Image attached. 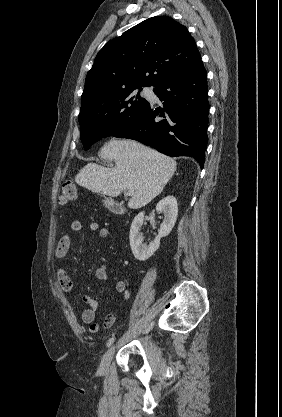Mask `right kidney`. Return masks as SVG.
I'll return each mask as SVG.
<instances>
[{"label": "right kidney", "instance_id": "1", "mask_svg": "<svg viewBox=\"0 0 282 417\" xmlns=\"http://www.w3.org/2000/svg\"><path fill=\"white\" fill-rule=\"evenodd\" d=\"M156 211H158V213H163L164 219L163 223L160 225L156 239H154L152 243H149V245H144V237L142 233H139L143 225L145 213L142 211V213H138L135 219H133L129 239L132 253L138 261H147L149 257H152L155 251L159 249L160 239H162V237H167V235L171 233L178 215V204L175 196L168 194V196L159 200L156 204Z\"/></svg>", "mask_w": 282, "mask_h": 417}]
</instances>
